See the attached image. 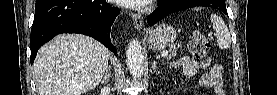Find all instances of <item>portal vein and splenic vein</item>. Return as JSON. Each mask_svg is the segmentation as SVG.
I'll return each mask as SVG.
<instances>
[{"mask_svg":"<svg viewBox=\"0 0 277 95\" xmlns=\"http://www.w3.org/2000/svg\"><path fill=\"white\" fill-rule=\"evenodd\" d=\"M167 54H168V51H167V50H165V51H163V52L161 53L162 57H166Z\"/></svg>","mask_w":277,"mask_h":95,"instance_id":"1","label":"portal vein and splenic vein"}]
</instances>
